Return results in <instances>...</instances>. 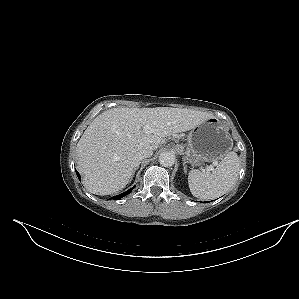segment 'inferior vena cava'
Listing matches in <instances>:
<instances>
[{
  "instance_id": "obj_1",
  "label": "inferior vena cava",
  "mask_w": 299,
  "mask_h": 299,
  "mask_svg": "<svg viewBox=\"0 0 299 299\" xmlns=\"http://www.w3.org/2000/svg\"><path fill=\"white\" fill-rule=\"evenodd\" d=\"M153 152L150 149H143L135 153L133 157V162L135 166H138L140 164V161H142L144 158L152 156Z\"/></svg>"
}]
</instances>
